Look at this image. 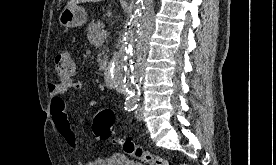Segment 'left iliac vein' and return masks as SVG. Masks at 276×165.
Masks as SVG:
<instances>
[{
    "label": "left iliac vein",
    "instance_id": "4c4485c4",
    "mask_svg": "<svg viewBox=\"0 0 276 165\" xmlns=\"http://www.w3.org/2000/svg\"><path fill=\"white\" fill-rule=\"evenodd\" d=\"M135 117L139 121L143 120V110L141 107L136 110Z\"/></svg>",
    "mask_w": 276,
    "mask_h": 165
}]
</instances>
